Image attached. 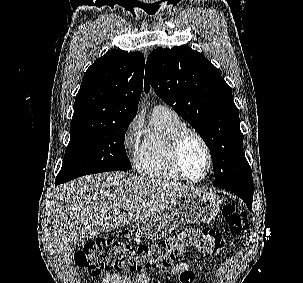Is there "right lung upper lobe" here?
<instances>
[{
    "label": "right lung upper lobe",
    "mask_w": 303,
    "mask_h": 283,
    "mask_svg": "<svg viewBox=\"0 0 303 283\" xmlns=\"http://www.w3.org/2000/svg\"><path fill=\"white\" fill-rule=\"evenodd\" d=\"M144 56L112 50L85 72L71 121L119 123L133 120L142 93Z\"/></svg>",
    "instance_id": "1"
}]
</instances>
